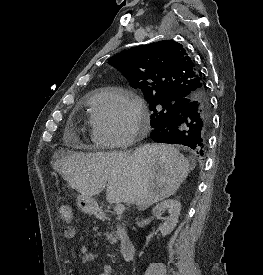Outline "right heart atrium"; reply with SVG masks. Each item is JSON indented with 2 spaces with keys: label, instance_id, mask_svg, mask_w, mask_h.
<instances>
[{
  "label": "right heart atrium",
  "instance_id": "obj_1",
  "mask_svg": "<svg viewBox=\"0 0 263 275\" xmlns=\"http://www.w3.org/2000/svg\"><path fill=\"white\" fill-rule=\"evenodd\" d=\"M145 122L141 100L127 91L107 88L92 99V136L100 146L130 144L139 136Z\"/></svg>",
  "mask_w": 263,
  "mask_h": 275
}]
</instances>
